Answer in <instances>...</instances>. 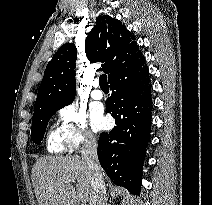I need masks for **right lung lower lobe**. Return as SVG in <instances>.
Wrapping results in <instances>:
<instances>
[{"label": "right lung lower lobe", "instance_id": "obj_1", "mask_svg": "<svg viewBox=\"0 0 212 205\" xmlns=\"http://www.w3.org/2000/svg\"><path fill=\"white\" fill-rule=\"evenodd\" d=\"M107 111L116 126L98 141V159L110 179L140 194L142 165L150 139L152 95L145 57L115 72L109 79Z\"/></svg>", "mask_w": 212, "mask_h": 205}]
</instances>
